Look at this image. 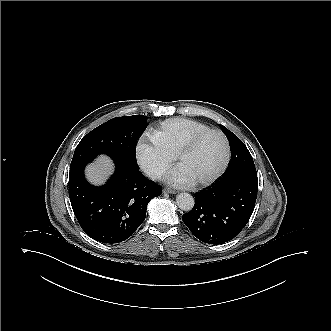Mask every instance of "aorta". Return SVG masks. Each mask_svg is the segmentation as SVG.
Here are the masks:
<instances>
[{
	"instance_id": "1",
	"label": "aorta",
	"mask_w": 331,
	"mask_h": 331,
	"mask_svg": "<svg viewBox=\"0 0 331 331\" xmlns=\"http://www.w3.org/2000/svg\"><path fill=\"white\" fill-rule=\"evenodd\" d=\"M177 206L183 211H191L195 205L194 198L189 193H180L176 196Z\"/></svg>"
}]
</instances>
